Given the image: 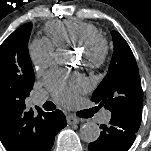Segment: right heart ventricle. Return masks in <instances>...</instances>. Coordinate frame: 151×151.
<instances>
[{"mask_svg": "<svg viewBox=\"0 0 151 151\" xmlns=\"http://www.w3.org/2000/svg\"><path fill=\"white\" fill-rule=\"evenodd\" d=\"M45 29L57 45L83 46L92 38L99 36L96 26L77 19L49 22Z\"/></svg>", "mask_w": 151, "mask_h": 151, "instance_id": "1", "label": "right heart ventricle"}]
</instances>
